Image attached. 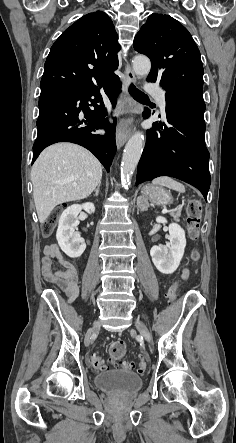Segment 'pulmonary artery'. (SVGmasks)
<instances>
[{"label":"pulmonary artery","mask_w":236,"mask_h":443,"mask_svg":"<svg viewBox=\"0 0 236 443\" xmlns=\"http://www.w3.org/2000/svg\"><path fill=\"white\" fill-rule=\"evenodd\" d=\"M156 98L161 109L162 115H165V107H166V99L165 95L162 91L156 92Z\"/></svg>","instance_id":"pulmonary-artery-1"}]
</instances>
